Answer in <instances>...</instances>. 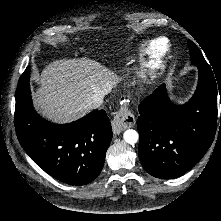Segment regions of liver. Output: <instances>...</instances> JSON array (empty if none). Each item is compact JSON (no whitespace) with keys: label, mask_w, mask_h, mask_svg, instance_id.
Instances as JSON below:
<instances>
[{"label":"liver","mask_w":221,"mask_h":221,"mask_svg":"<svg viewBox=\"0 0 221 221\" xmlns=\"http://www.w3.org/2000/svg\"><path fill=\"white\" fill-rule=\"evenodd\" d=\"M117 82L118 77L95 60H56L42 71L34 103L48 119L70 122L89 111L83 106L88 96L98 90L109 93Z\"/></svg>","instance_id":"liver-1"}]
</instances>
